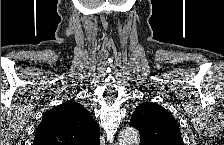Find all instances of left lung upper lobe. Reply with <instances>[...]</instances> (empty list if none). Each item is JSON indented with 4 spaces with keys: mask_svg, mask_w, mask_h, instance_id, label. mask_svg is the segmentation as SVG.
Segmentation results:
<instances>
[{
    "mask_svg": "<svg viewBox=\"0 0 224 145\" xmlns=\"http://www.w3.org/2000/svg\"><path fill=\"white\" fill-rule=\"evenodd\" d=\"M130 125L138 129L140 145H182L176 120L155 103H141L132 115Z\"/></svg>",
    "mask_w": 224,
    "mask_h": 145,
    "instance_id": "5c2ea615",
    "label": "left lung upper lobe"
}]
</instances>
